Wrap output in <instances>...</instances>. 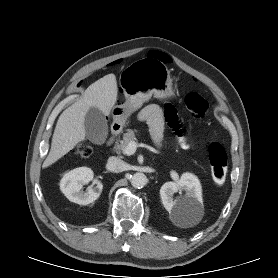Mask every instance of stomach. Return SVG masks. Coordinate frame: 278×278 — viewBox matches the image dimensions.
<instances>
[{
	"instance_id": "1",
	"label": "stomach",
	"mask_w": 278,
	"mask_h": 278,
	"mask_svg": "<svg viewBox=\"0 0 278 278\" xmlns=\"http://www.w3.org/2000/svg\"><path fill=\"white\" fill-rule=\"evenodd\" d=\"M126 101L112 110L114 124L123 126L128 116L148 101L152 95L167 99L174 95L170 72L156 58H142L124 68L119 77Z\"/></svg>"
}]
</instances>
